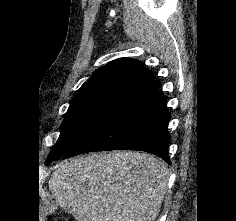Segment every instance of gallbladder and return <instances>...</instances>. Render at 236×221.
<instances>
[{
	"instance_id": "1",
	"label": "gallbladder",
	"mask_w": 236,
	"mask_h": 221,
	"mask_svg": "<svg viewBox=\"0 0 236 221\" xmlns=\"http://www.w3.org/2000/svg\"><path fill=\"white\" fill-rule=\"evenodd\" d=\"M64 209L67 211V212H71V209L67 208V207H64Z\"/></svg>"
}]
</instances>
